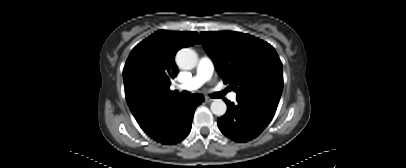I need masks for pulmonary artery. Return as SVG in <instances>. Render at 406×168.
<instances>
[{
  "label": "pulmonary artery",
  "instance_id": "pulmonary-artery-1",
  "mask_svg": "<svg viewBox=\"0 0 406 168\" xmlns=\"http://www.w3.org/2000/svg\"><path fill=\"white\" fill-rule=\"evenodd\" d=\"M214 71V66L211 58L207 55H203L196 68V73L194 76H192L190 79L187 81L179 84L177 86L178 89L180 90H186V91H194L200 88L205 82L210 80V78L213 75ZM237 97V94L235 92H232L229 94V98L232 101H235Z\"/></svg>",
  "mask_w": 406,
  "mask_h": 168
}]
</instances>
